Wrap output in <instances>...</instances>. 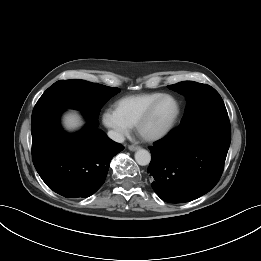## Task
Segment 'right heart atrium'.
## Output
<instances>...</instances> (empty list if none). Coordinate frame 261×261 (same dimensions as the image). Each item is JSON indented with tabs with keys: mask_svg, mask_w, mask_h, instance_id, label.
Masks as SVG:
<instances>
[{
	"mask_svg": "<svg viewBox=\"0 0 261 261\" xmlns=\"http://www.w3.org/2000/svg\"><path fill=\"white\" fill-rule=\"evenodd\" d=\"M102 122L118 140L127 137L132 129V126L121 118L115 109L112 108L104 110L102 114Z\"/></svg>",
	"mask_w": 261,
	"mask_h": 261,
	"instance_id": "obj_1",
	"label": "right heart atrium"
}]
</instances>
